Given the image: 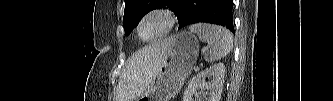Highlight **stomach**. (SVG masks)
Returning a JSON list of instances; mask_svg holds the SVG:
<instances>
[{"instance_id": "0dacf381", "label": "stomach", "mask_w": 333, "mask_h": 101, "mask_svg": "<svg viewBox=\"0 0 333 101\" xmlns=\"http://www.w3.org/2000/svg\"><path fill=\"white\" fill-rule=\"evenodd\" d=\"M167 55L158 75L134 101H169L178 94L199 55L198 38L187 31L165 40Z\"/></svg>"}]
</instances>
